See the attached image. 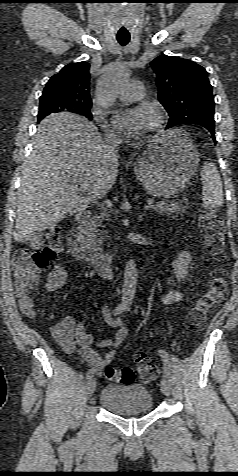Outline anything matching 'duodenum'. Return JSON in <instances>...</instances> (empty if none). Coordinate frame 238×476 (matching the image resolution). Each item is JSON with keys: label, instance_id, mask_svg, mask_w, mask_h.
<instances>
[{"label": "duodenum", "instance_id": "obj_1", "mask_svg": "<svg viewBox=\"0 0 238 476\" xmlns=\"http://www.w3.org/2000/svg\"><path fill=\"white\" fill-rule=\"evenodd\" d=\"M89 220V214L79 213L67 237V246L75 259L88 265L102 278H109L114 274L115 256L112 254H98L93 252L83 238L84 228Z\"/></svg>", "mask_w": 238, "mask_h": 476}]
</instances>
